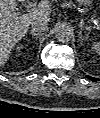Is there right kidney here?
Listing matches in <instances>:
<instances>
[{
  "instance_id": "1",
  "label": "right kidney",
  "mask_w": 100,
  "mask_h": 118,
  "mask_svg": "<svg viewBox=\"0 0 100 118\" xmlns=\"http://www.w3.org/2000/svg\"><path fill=\"white\" fill-rule=\"evenodd\" d=\"M22 48H23L22 45H20V46H17L16 50L20 51Z\"/></svg>"
}]
</instances>
